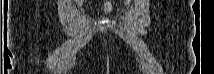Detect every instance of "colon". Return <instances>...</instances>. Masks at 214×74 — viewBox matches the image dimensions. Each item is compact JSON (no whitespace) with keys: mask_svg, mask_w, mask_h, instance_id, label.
<instances>
[{"mask_svg":"<svg viewBox=\"0 0 214 74\" xmlns=\"http://www.w3.org/2000/svg\"><path fill=\"white\" fill-rule=\"evenodd\" d=\"M104 11L109 13L111 11V4L108 1H104Z\"/></svg>","mask_w":214,"mask_h":74,"instance_id":"5ec220e1","label":"colon"}]
</instances>
